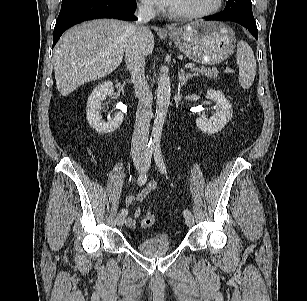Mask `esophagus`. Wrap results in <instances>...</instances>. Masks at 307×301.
<instances>
[{"mask_svg": "<svg viewBox=\"0 0 307 301\" xmlns=\"http://www.w3.org/2000/svg\"><path fill=\"white\" fill-rule=\"evenodd\" d=\"M173 27L171 25H166V30H172Z\"/></svg>", "mask_w": 307, "mask_h": 301, "instance_id": "1", "label": "esophagus"}]
</instances>
